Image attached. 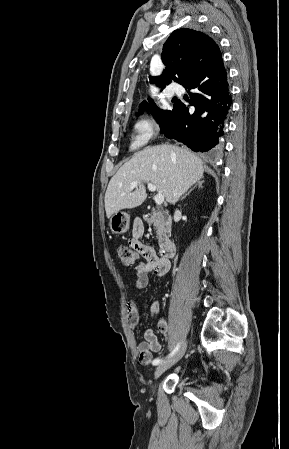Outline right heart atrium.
<instances>
[{
    "instance_id": "right-heart-atrium-1",
    "label": "right heart atrium",
    "mask_w": 289,
    "mask_h": 449,
    "mask_svg": "<svg viewBox=\"0 0 289 449\" xmlns=\"http://www.w3.org/2000/svg\"><path fill=\"white\" fill-rule=\"evenodd\" d=\"M156 131V121L151 111H142L134 122V142L142 145L151 140Z\"/></svg>"
}]
</instances>
